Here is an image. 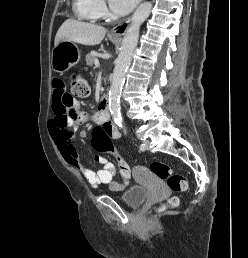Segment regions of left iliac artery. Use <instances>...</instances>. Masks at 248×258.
<instances>
[{
  "instance_id": "left-iliac-artery-1",
  "label": "left iliac artery",
  "mask_w": 248,
  "mask_h": 258,
  "mask_svg": "<svg viewBox=\"0 0 248 258\" xmlns=\"http://www.w3.org/2000/svg\"><path fill=\"white\" fill-rule=\"evenodd\" d=\"M140 150H142V151L144 150V144L140 145Z\"/></svg>"
}]
</instances>
